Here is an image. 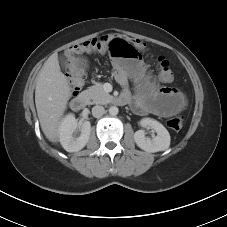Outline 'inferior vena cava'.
<instances>
[{"instance_id": "602c4592", "label": "inferior vena cava", "mask_w": 227, "mask_h": 227, "mask_svg": "<svg viewBox=\"0 0 227 227\" xmlns=\"http://www.w3.org/2000/svg\"><path fill=\"white\" fill-rule=\"evenodd\" d=\"M103 114H105V109L103 106L96 105L92 108V115L96 118L101 117Z\"/></svg>"}]
</instances>
